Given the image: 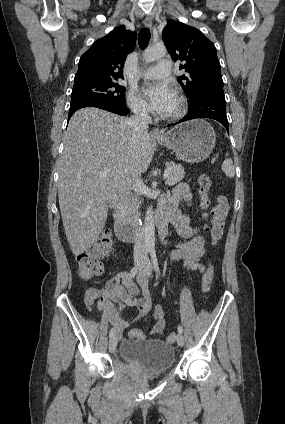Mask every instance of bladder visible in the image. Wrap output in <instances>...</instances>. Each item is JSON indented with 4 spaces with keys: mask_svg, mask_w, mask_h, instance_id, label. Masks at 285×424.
I'll return each instance as SVG.
<instances>
[{
    "mask_svg": "<svg viewBox=\"0 0 285 424\" xmlns=\"http://www.w3.org/2000/svg\"><path fill=\"white\" fill-rule=\"evenodd\" d=\"M119 354L123 362L149 374L168 372L176 357L171 345L155 339L125 340L120 345Z\"/></svg>",
    "mask_w": 285,
    "mask_h": 424,
    "instance_id": "1",
    "label": "bladder"
}]
</instances>
